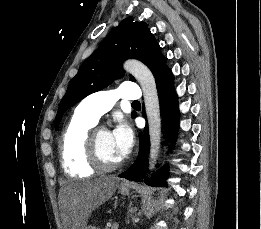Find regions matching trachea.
<instances>
[{"label": "trachea", "mask_w": 261, "mask_h": 229, "mask_svg": "<svg viewBox=\"0 0 261 229\" xmlns=\"http://www.w3.org/2000/svg\"><path fill=\"white\" fill-rule=\"evenodd\" d=\"M132 104H140V102L138 100H134Z\"/></svg>", "instance_id": "3493384b"}]
</instances>
